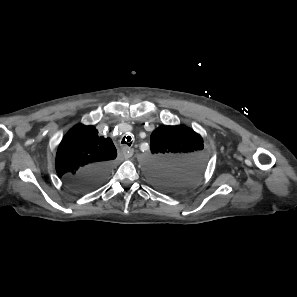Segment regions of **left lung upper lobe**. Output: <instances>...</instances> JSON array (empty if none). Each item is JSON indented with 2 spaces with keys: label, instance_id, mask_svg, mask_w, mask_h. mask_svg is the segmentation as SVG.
I'll use <instances>...</instances> for the list:
<instances>
[{
  "label": "left lung upper lobe",
  "instance_id": "5c2ea615",
  "mask_svg": "<svg viewBox=\"0 0 297 297\" xmlns=\"http://www.w3.org/2000/svg\"><path fill=\"white\" fill-rule=\"evenodd\" d=\"M149 178L165 191H179L202 174L207 153L199 134L185 126H160L150 137Z\"/></svg>",
  "mask_w": 297,
  "mask_h": 297
}]
</instances>
